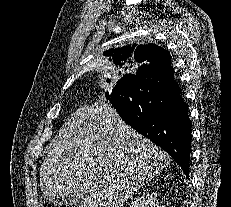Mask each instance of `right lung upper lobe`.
<instances>
[{"label":"right lung upper lobe","mask_w":231,"mask_h":207,"mask_svg":"<svg viewBox=\"0 0 231 207\" xmlns=\"http://www.w3.org/2000/svg\"><path fill=\"white\" fill-rule=\"evenodd\" d=\"M109 56V60L119 68H127L128 64L133 62L141 63L140 67L146 65H159L164 69H169L171 56L170 53L155 44L140 45L136 44L124 46L117 49H109L104 53ZM139 67V68H140ZM128 74L124 75L126 77Z\"/></svg>","instance_id":"right-lung-upper-lobe-1"}]
</instances>
